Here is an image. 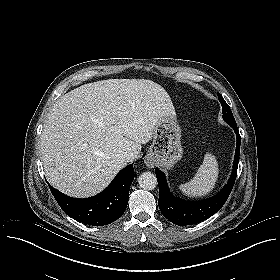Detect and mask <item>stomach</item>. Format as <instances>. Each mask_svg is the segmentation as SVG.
<instances>
[{
  "mask_svg": "<svg viewBox=\"0 0 280 280\" xmlns=\"http://www.w3.org/2000/svg\"><path fill=\"white\" fill-rule=\"evenodd\" d=\"M180 138L181 129L177 121L171 117L161 119L153 130L146 159L163 168H172L183 155Z\"/></svg>",
  "mask_w": 280,
  "mask_h": 280,
  "instance_id": "0dacf381",
  "label": "stomach"
}]
</instances>
